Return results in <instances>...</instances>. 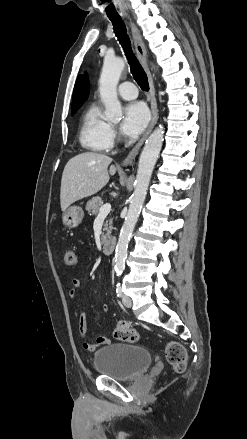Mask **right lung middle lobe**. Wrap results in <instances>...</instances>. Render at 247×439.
Masks as SVG:
<instances>
[{
    "mask_svg": "<svg viewBox=\"0 0 247 439\" xmlns=\"http://www.w3.org/2000/svg\"><path fill=\"white\" fill-rule=\"evenodd\" d=\"M78 109L72 110L71 115L75 114Z\"/></svg>",
    "mask_w": 247,
    "mask_h": 439,
    "instance_id": "1",
    "label": "right lung middle lobe"
}]
</instances>
